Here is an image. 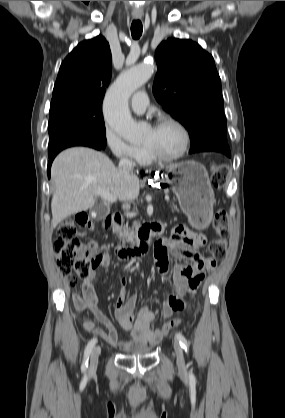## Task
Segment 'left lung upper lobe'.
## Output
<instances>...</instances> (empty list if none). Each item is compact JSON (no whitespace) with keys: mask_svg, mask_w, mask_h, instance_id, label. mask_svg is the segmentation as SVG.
Returning <instances> with one entry per match:
<instances>
[{"mask_svg":"<svg viewBox=\"0 0 285 418\" xmlns=\"http://www.w3.org/2000/svg\"><path fill=\"white\" fill-rule=\"evenodd\" d=\"M153 93L190 134V153L230 154L221 80L209 53L192 40L168 39L155 52Z\"/></svg>","mask_w":285,"mask_h":418,"instance_id":"1","label":"left lung upper lobe"}]
</instances>
